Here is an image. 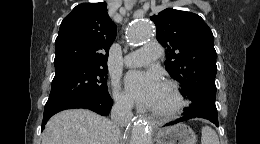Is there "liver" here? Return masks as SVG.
Listing matches in <instances>:
<instances>
[{"label":"liver","mask_w":260,"mask_h":144,"mask_svg":"<svg viewBox=\"0 0 260 144\" xmlns=\"http://www.w3.org/2000/svg\"><path fill=\"white\" fill-rule=\"evenodd\" d=\"M118 140L110 120L89 110L70 109L47 122L42 144H116Z\"/></svg>","instance_id":"liver-1"}]
</instances>
